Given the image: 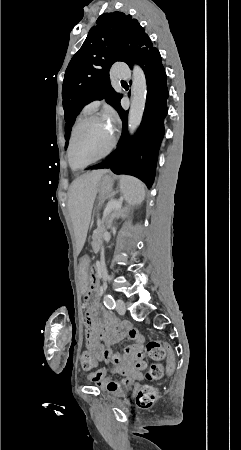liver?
<instances>
[{
	"label": "liver",
	"instance_id": "obj_1",
	"mask_svg": "<svg viewBox=\"0 0 241 450\" xmlns=\"http://www.w3.org/2000/svg\"><path fill=\"white\" fill-rule=\"evenodd\" d=\"M108 170H95L74 180L69 192V210L78 226L86 220V228L91 218V212L98 192V184Z\"/></svg>",
	"mask_w": 241,
	"mask_h": 450
}]
</instances>
